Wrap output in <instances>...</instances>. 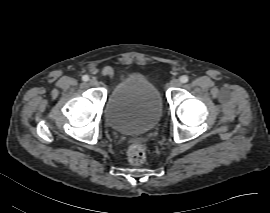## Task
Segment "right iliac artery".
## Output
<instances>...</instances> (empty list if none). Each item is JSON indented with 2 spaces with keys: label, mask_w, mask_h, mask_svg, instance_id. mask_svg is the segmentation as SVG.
Returning a JSON list of instances; mask_svg holds the SVG:
<instances>
[{
  "label": "right iliac artery",
  "mask_w": 270,
  "mask_h": 213,
  "mask_svg": "<svg viewBox=\"0 0 270 213\" xmlns=\"http://www.w3.org/2000/svg\"><path fill=\"white\" fill-rule=\"evenodd\" d=\"M82 80H83V81H88V80H89L88 75H84V76L82 77Z\"/></svg>",
  "instance_id": "82829eb1"
}]
</instances>
